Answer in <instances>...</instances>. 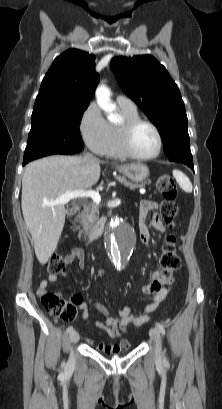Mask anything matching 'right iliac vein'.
<instances>
[{"instance_id": "1", "label": "right iliac vein", "mask_w": 222, "mask_h": 409, "mask_svg": "<svg viewBox=\"0 0 222 409\" xmlns=\"http://www.w3.org/2000/svg\"><path fill=\"white\" fill-rule=\"evenodd\" d=\"M79 339V335L77 333V331H72L69 335V340L71 343H75L77 342ZM72 355V354H71Z\"/></svg>"}]
</instances>
